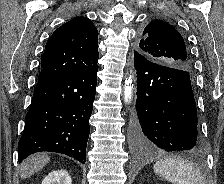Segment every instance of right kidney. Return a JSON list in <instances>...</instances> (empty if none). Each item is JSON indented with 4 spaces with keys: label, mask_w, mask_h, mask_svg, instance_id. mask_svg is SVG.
Instances as JSON below:
<instances>
[{
    "label": "right kidney",
    "mask_w": 224,
    "mask_h": 184,
    "mask_svg": "<svg viewBox=\"0 0 224 184\" xmlns=\"http://www.w3.org/2000/svg\"><path fill=\"white\" fill-rule=\"evenodd\" d=\"M42 184H72L71 177L66 170H57L49 173Z\"/></svg>",
    "instance_id": "obj_1"
}]
</instances>
